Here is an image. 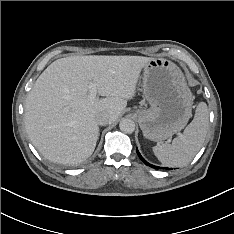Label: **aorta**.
Wrapping results in <instances>:
<instances>
[{"mask_svg":"<svg viewBox=\"0 0 234 234\" xmlns=\"http://www.w3.org/2000/svg\"><path fill=\"white\" fill-rule=\"evenodd\" d=\"M119 127L122 132L131 134L135 130V123L131 119L124 118L120 121Z\"/></svg>","mask_w":234,"mask_h":234,"instance_id":"aorta-1","label":"aorta"}]
</instances>
